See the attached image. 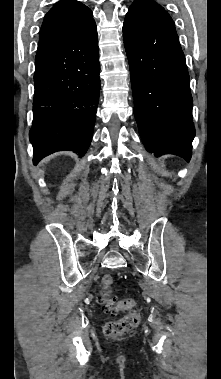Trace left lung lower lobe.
Wrapping results in <instances>:
<instances>
[{
	"label": "left lung lower lobe",
	"instance_id": "obj_1",
	"mask_svg": "<svg viewBox=\"0 0 221 379\" xmlns=\"http://www.w3.org/2000/svg\"><path fill=\"white\" fill-rule=\"evenodd\" d=\"M134 115L147 151L189 161L195 128L189 73L169 14L134 1L123 24Z\"/></svg>",
	"mask_w": 221,
	"mask_h": 379
}]
</instances>
